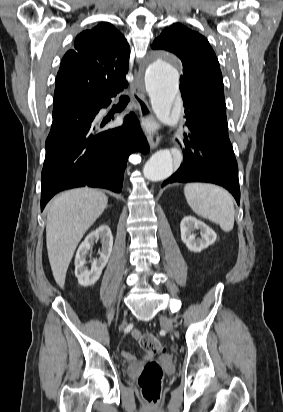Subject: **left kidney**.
Instances as JSON below:
<instances>
[{"label": "left kidney", "instance_id": "1", "mask_svg": "<svg viewBox=\"0 0 283 412\" xmlns=\"http://www.w3.org/2000/svg\"><path fill=\"white\" fill-rule=\"evenodd\" d=\"M181 240L193 252H201L216 241V233L202 221L195 217L186 216L180 223ZM194 230H199L201 238L196 239Z\"/></svg>", "mask_w": 283, "mask_h": 412}]
</instances>
